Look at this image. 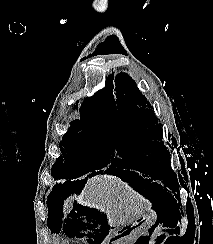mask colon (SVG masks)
Masks as SVG:
<instances>
[{
  "mask_svg": "<svg viewBox=\"0 0 213 244\" xmlns=\"http://www.w3.org/2000/svg\"><path fill=\"white\" fill-rule=\"evenodd\" d=\"M62 244H71V243L68 241H63ZM76 244H81V243H76Z\"/></svg>",
  "mask_w": 213,
  "mask_h": 244,
  "instance_id": "colon-1",
  "label": "colon"
}]
</instances>
